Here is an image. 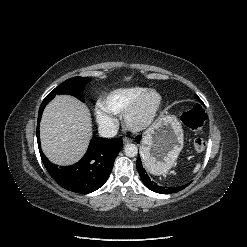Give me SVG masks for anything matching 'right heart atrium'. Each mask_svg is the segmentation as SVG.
<instances>
[{
    "mask_svg": "<svg viewBox=\"0 0 247 247\" xmlns=\"http://www.w3.org/2000/svg\"><path fill=\"white\" fill-rule=\"evenodd\" d=\"M95 115L100 126L106 131H112L116 126V119L109 113L101 103L95 106Z\"/></svg>",
    "mask_w": 247,
    "mask_h": 247,
    "instance_id": "d8ad5b80",
    "label": "right heart atrium"
}]
</instances>
